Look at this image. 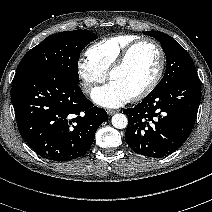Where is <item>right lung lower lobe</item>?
<instances>
[{
	"label": "right lung lower lobe",
	"mask_w": 212,
	"mask_h": 212,
	"mask_svg": "<svg viewBox=\"0 0 212 212\" xmlns=\"http://www.w3.org/2000/svg\"><path fill=\"white\" fill-rule=\"evenodd\" d=\"M12 101L22 138L38 155L57 162L83 156L107 119L77 83L57 73L15 78Z\"/></svg>",
	"instance_id": "obj_1"
}]
</instances>
